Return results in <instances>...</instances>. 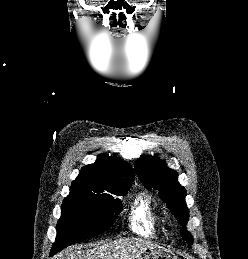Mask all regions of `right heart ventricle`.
<instances>
[{
  "mask_svg": "<svg viewBox=\"0 0 248 259\" xmlns=\"http://www.w3.org/2000/svg\"><path fill=\"white\" fill-rule=\"evenodd\" d=\"M129 221L132 229L140 234H154L163 222L150 195L139 194L131 207Z\"/></svg>",
  "mask_w": 248,
  "mask_h": 259,
  "instance_id": "e07e8e85",
  "label": "right heart ventricle"
}]
</instances>
